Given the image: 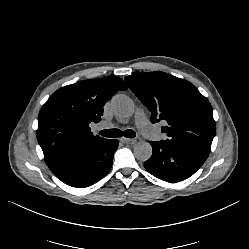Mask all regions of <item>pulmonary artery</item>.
<instances>
[{
	"label": "pulmonary artery",
	"instance_id": "e3ab8cb5",
	"mask_svg": "<svg viewBox=\"0 0 249 249\" xmlns=\"http://www.w3.org/2000/svg\"><path fill=\"white\" fill-rule=\"evenodd\" d=\"M134 120L138 129H142L148 123L147 116L142 109L136 110ZM111 127H112L111 123L102 121L97 124L96 128L97 130H104V129H109Z\"/></svg>",
	"mask_w": 249,
	"mask_h": 249
}]
</instances>
